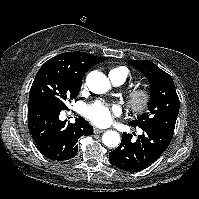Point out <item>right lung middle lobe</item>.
I'll use <instances>...</instances> for the list:
<instances>
[{
    "instance_id": "right-lung-middle-lobe-1",
    "label": "right lung middle lobe",
    "mask_w": 199,
    "mask_h": 199,
    "mask_svg": "<svg viewBox=\"0 0 199 199\" xmlns=\"http://www.w3.org/2000/svg\"><path fill=\"white\" fill-rule=\"evenodd\" d=\"M82 85V79L51 68L41 67L29 92V102L38 98H47L64 110L67 103L76 98Z\"/></svg>"
}]
</instances>
